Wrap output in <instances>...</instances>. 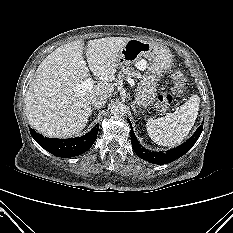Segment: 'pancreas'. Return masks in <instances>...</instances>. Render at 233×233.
<instances>
[{"mask_svg": "<svg viewBox=\"0 0 233 233\" xmlns=\"http://www.w3.org/2000/svg\"><path fill=\"white\" fill-rule=\"evenodd\" d=\"M124 77L140 78L141 75L139 71L135 70L132 67H123L118 74V78L122 79Z\"/></svg>", "mask_w": 233, "mask_h": 233, "instance_id": "cf45deb5", "label": "pancreas"}]
</instances>
